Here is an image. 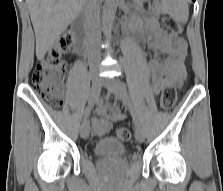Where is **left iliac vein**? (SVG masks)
Masks as SVG:
<instances>
[{"instance_id":"left-iliac-vein-1","label":"left iliac vein","mask_w":223,"mask_h":191,"mask_svg":"<svg viewBox=\"0 0 223 191\" xmlns=\"http://www.w3.org/2000/svg\"><path fill=\"white\" fill-rule=\"evenodd\" d=\"M106 88L113 92L116 97L122 101L125 105L128 103V93L126 85L119 80L118 78H113L105 81ZM144 131L143 128L138 125L135 128V139L138 143H142L144 141Z\"/></svg>"}]
</instances>
